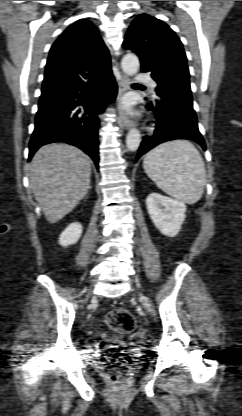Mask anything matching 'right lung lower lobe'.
Returning <instances> with one entry per match:
<instances>
[{
    "mask_svg": "<svg viewBox=\"0 0 242 416\" xmlns=\"http://www.w3.org/2000/svg\"><path fill=\"white\" fill-rule=\"evenodd\" d=\"M117 94L112 71L86 81L42 91L29 143V160L42 145L66 142L99 163V115Z\"/></svg>",
    "mask_w": 242,
    "mask_h": 416,
    "instance_id": "obj_1",
    "label": "right lung lower lobe"
}]
</instances>
